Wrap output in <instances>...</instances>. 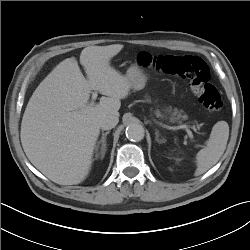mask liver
I'll return each mask as SVG.
<instances>
[{
	"mask_svg": "<svg viewBox=\"0 0 250 250\" xmlns=\"http://www.w3.org/2000/svg\"><path fill=\"white\" fill-rule=\"evenodd\" d=\"M122 44L90 46L60 62L29 99L21 123V143L30 162L60 185L81 183L88 175L100 134L101 118L119 117L121 99L131 85L127 76L110 66ZM92 90L105 95L89 103ZM107 96V97H106ZM78 112V113H75Z\"/></svg>",
	"mask_w": 250,
	"mask_h": 250,
	"instance_id": "obj_1",
	"label": "liver"
}]
</instances>
